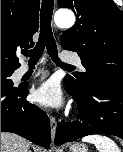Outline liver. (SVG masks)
<instances>
[{
  "instance_id": "1",
  "label": "liver",
  "mask_w": 123,
  "mask_h": 152,
  "mask_svg": "<svg viewBox=\"0 0 123 152\" xmlns=\"http://www.w3.org/2000/svg\"><path fill=\"white\" fill-rule=\"evenodd\" d=\"M30 143L13 133L1 132V152H29Z\"/></svg>"
}]
</instances>
